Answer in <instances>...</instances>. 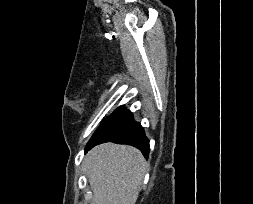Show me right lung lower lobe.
Returning <instances> with one entry per match:
<instances>
[{
	"mask_svg": "<svg viewBox=\"0 0 253 204\" xmlns=\"http://www.w3.org/2000/svg\"><path fill=\"white\" fill-rule=\"evenodd\" d=\"M104 142L132 145L138 148L146 159L149 156V140L144 129L134 121L133 114L124 106L117 108L102 122L87 143L85 152Z\"/></svg>",
	"mask_w": 253,
	"mask_h": 204,
	"instance_id": "obj_1",
	"label": "right lung lower lobe"
}]
</instances>
